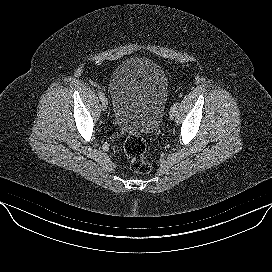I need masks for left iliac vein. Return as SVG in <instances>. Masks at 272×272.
Instances as JSON below:
<instances>
[{
    "instance_id": "4c4485c4",
    "label": "left iliac vein",
    "mask_w": 272,
    "mask_h": 272,
    "mask_svg": "<svg viewBox=\"0 0 272 272\" xmlns=\"http://www.w3.org/2000/svg\"><path fill=\"white\" fill-rule=\"evenodd\" d=\"M175 113H176V109L171 108L169 112L170 119H173Z\"/></svg>"
}]
</instances>
